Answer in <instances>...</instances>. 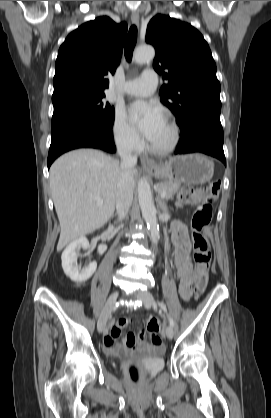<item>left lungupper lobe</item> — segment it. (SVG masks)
Segmentation results:
<instances>
[{
	"label": "left lung upper lobe",
	"mask_w": 271,
	"mask_h": 418,
	"mask_svg": "<svg viewBox=\"0 0 271 418\" xmlns=\"http://www.w3.org/2000/svg\"><path fill=\"white\" fill-rule=\"evenodd\" d=\"M146 42L156 51L154 69L168 81L161 87V101L177 124L200 115L220 116L221 87L202 34L188 23L159 14L147 26Z\"/></svg>",
	"instance_id": "obj_1"
}]
</instances>
